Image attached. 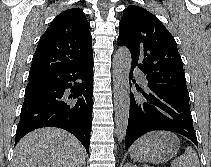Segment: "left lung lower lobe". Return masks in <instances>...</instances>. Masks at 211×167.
<instances>
[{
    "label": "left lung lower lobe",
    "mask_w": 211,
    "mask_h": 167,
    "mask_svg": "<svg viewBox=\"0 0 211 167\" xmlns=\"http://www.w3.org/2000/svg\"><path fill=\"white\" fill-rule=\"evenodd\" d=\"M134 68H131L130 79L133 77ZM132 81L135 82V80ZM136 89L145 99L137 98L130 93L125 149H128L143 134L154 130L182 134L198 146L188 100L154 86L148 85L146 92L139 87Z\"/></svg>",
    "instance_id": "1"
}]
</instances>
